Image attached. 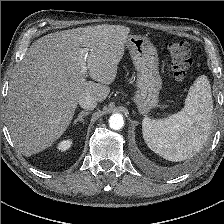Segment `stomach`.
Segmentation results:
<instances>
[{
	"label": "stomach",
	"mask_w": 224,
	"mask_h": 224,
	"mask_svg": "<svg viewBox=\"0 0 224 224\" xmlns=\"http://www.w3.org/2000/svg\"><path fill=\"white\" fill-rule=\"evenodd\" d=\"M138 72L133 101L140 114H147L159 102L162 80L155 46L145 37L129 35L125 42Z\"/></svg>",
	"instance_id": "stomach-1"
}]
</instances>
